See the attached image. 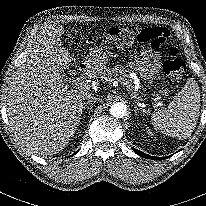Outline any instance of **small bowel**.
I'll return each instance as SVG.
<instances>
[{
    "label": "small bowel",
    "instance_id": "small-bowel-1",
    "mask_svg": "<svg viewBox=\"0 0 206 206\" xmlns=\"http://www.w3.org/2000/svg\"><path fill=\"white\" fill-rule=\"evenodd\" d=\"M159 63L160 55L146 50L142 52L141 57L137 60L141 73L146 77L155 73Z\"/></svg>",
    "mask_w": 206,
    "mask_h": 206
}]
</instances>
